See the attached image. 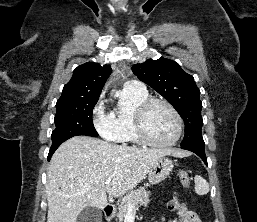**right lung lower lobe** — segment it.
Here are the masks:
<instances>
[{
	"mask_svg": "<svg viewBox=\"0 0 257 222\" xmlns=\"http://www.w3.org/2000/svg\"><path fill=\"white\" fill-rule=\"evenodd\" d=\"M59 147V145L57 146H51L49 154H48V161L51 159L53 153L56 151V149Z\"/></svg>",
	"mask_w": 257,
	"mask_h": 222,
	"instance_id": "obj_1",
	"label": "right lung lower lobe"
}]
</instances>
